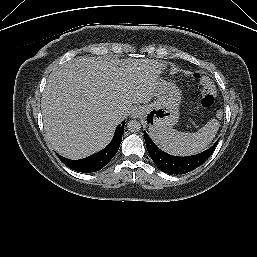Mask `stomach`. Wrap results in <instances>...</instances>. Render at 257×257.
<instances>
[{"label": "stomach", "mask_w": 257, "mask_h": 257, "mask_svg": "<svg viewBox=\"0 0 257 257\" xmlns=\"http://www.w3.org/2000/svg\"><path fill=\"white\" fill-rule=\"evenodd\" d=\"M155 96L152 104L141 107V116L150 131L170 128L179 119L181 91L175 83L159 79Z\"/></svg>", "instance_id": "1"}]
</instances>
